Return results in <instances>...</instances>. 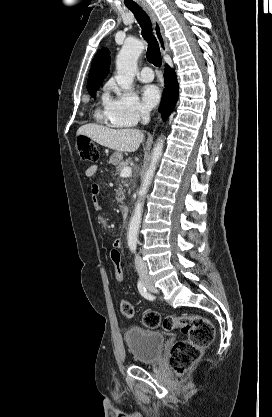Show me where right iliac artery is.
Listing matches in <instances>:
<instances>
[{
	"instance_id": "obj_1",
	"label": "right iliac artery",
	"mask_w": 272,
	"mask_h": 417,
	"mask_svg": "<svg viewBox=\"0 0 272 417\" xmlns=\"http://www.w3.org/2000/svg\"><path fill=\"white\" fill-rule=\"evenodd\" d=\"M137 286H138V291L140 292V294H141L144 298H146V299H148V300H151V301L155 299V297H154L153 295H151V294H150V293L146 290L145 286L143 285V283H142L140 280H138Z\"/></svg>"
}]
</instances>
